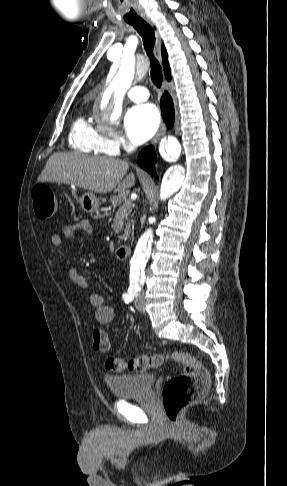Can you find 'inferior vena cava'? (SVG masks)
I'll return each instance as SVG.
<instances>
[{
	"mask_svg": "<svg viewBox=\"0 0 287 486\" xmlns=\"http://www.w3.org/2000/svg\"><path fill=\"white\" fill-rule=\"evenodd\" d=\"M131 149L133 150L134 149V146H132Z\"/></svg>",
	"mask_w": 287,
	"mask_h": 486,
	"instance_id": "inferior-vena-cava-1",
	"label": "inferior vena cava"
}]
</instances>
